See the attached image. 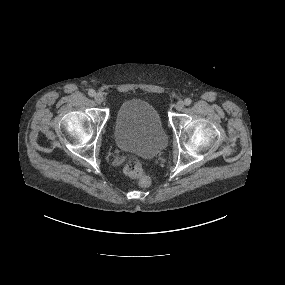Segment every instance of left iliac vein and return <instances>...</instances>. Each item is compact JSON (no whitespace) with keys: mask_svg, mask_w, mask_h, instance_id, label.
I'll return each instance as SVG.
<instances>
[{"mask_svg":"<svg viewBox=\"0 0 285 285\" xmlns=\"http://www.w3.org/2000/svg\"><path fill=\"white\" fill-rule=\"evenodd\" d=\"M184 108V102L183 101H178L175 105V109L177 111H181Z\"/></svg>","mask_w":285,"mask_h":285,"instance_id":"obj_1","label":"left iliac vein"}]
</instances>
